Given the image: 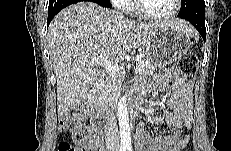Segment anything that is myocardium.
<instances>
[{
	"instance_id": "myocardium-1",
	"label": "myocardium",
	"mask_w": 231,
	"mask_h": 151,
	"mask_svg": "<svg viewBox=\"0 0 231 151\" xmlns=\"http://www.w3.org/2000/svg\"><path fill=\"white\" fill-rule=\"evenodd\" d=\"M180 4H181V0H173V8L170 12L163 14V15H152V14L146 13L142 9V4L140 0H136L134 1V10H135V13L144 20L160 22V21L169 20L172 17H174L179 10Z\"/></svg>"
}]
</instances>
